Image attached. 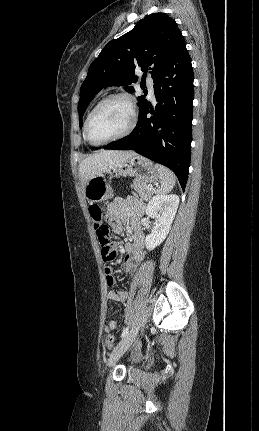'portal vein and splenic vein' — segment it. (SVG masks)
<instances>
[{"label":"portal vein and splenic vein","mask_w":259,"mask_h":431,"mask_svg":"<svg viewBox=\"0 0 259 431\" xmlns=\"http://www.w3.org/2000/svg\"><path fill=\"white\" fill-rule=\"evenodd\" d=\"M147 188H148L149 190H152V189H153L151 185H148V186H147Z\"/></svg>","instance_id":"1"}]
</instances>
